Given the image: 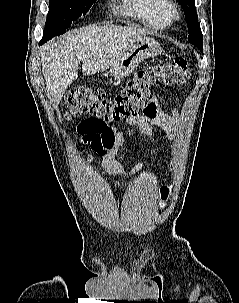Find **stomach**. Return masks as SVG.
Returning a JSON list of instances; mask_svg holds the SVG:
<instances>
[{
    "instance_id": "stomach-1",
    "label": "stomach",
    "mask_w": 239,
    "mask_h": 303,
    "mask_svg": "<svg viewBox=\"0 0 239 303\" xmlns=\"http://www.w3.org/2000/svg\"><path fill=\"white\" fill-rule=\"evenodd\" d=\"M161 52V46L152 38L146 37L134 43L119 59L110 67V76L115 80L128 76L144 59L155 57Z\"/></svg>"
}]
</instances>
